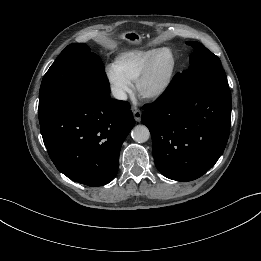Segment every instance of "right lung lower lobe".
Wrapping results in <instances>:
<instances>
[{"label":"right lung lower lobe","instance_id":"98d812e1","mask_svg":"<svg viewBox=\"0 0 261 261\" xmlns=\"http://www.w3.org/2000/svg\"><path fill=\"white\" fill-rule=\"evenodd\" d=\"M39 121L44 144L57 169L91 187L112 181L122 143L134 126L129 103L97 93L76 95Z\"/></svg>","mask_w":261,"mask_h":261}]
</instances>
